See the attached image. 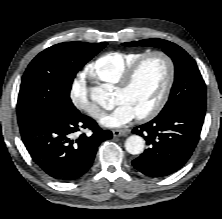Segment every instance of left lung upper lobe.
I'll return each mask as SVG.
<instances>
[{
	"mask_svg": "<svg viewBox=\"0 0 222 219\" xmlns=\"http://www.w3.org/2000/svg\"><path fill=\"white\" fill-rule=\"evenodd\" d=\"M123 45L128 47L153 46L162 48L172 58L175 65V80L169 100L161 112H165L175 106H188L199 111H205V83L196 62L185 50L170 41L157 38L126 42Z\"/></svg>",
	"mask_w": 222,
	"mask_h": 219,
	"instance_id": "1",
	"label": "left lung upper lobe"
}]
</instances>
